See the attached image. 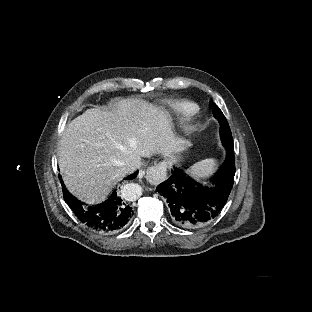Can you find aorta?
<instances>
[{"label":"aorta","mask_w":312,"mask_h":312,"mask_svg":"<svg viewBox=\"0 0 312 312\" xmlns=\"http://www.w3.org/2000/svg\"><path fill=\"white\" fill-rule=\"evenodd\" d=\"M142 193V189L139 185L134 183H128L124 186V194L126 200L135 201L137 200Z\"/></svg>","instance_id":"obj_1"}]
</instances>
